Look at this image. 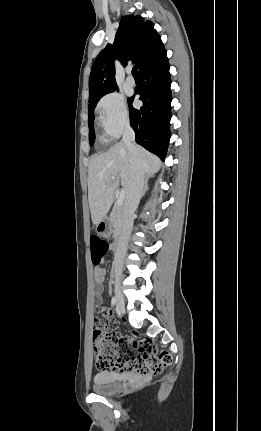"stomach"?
I'll use <instances>...</instances> for the list:
<instances>
[{"mask_svg":"<svg viewBox=\"0 0 261 431\" xmlns=\"http://www.w3.org/2000/svg\"><path fill=\"white\" fill-rule=\"evenodd\" d=\"M96 232L103 237H109L112 233V225L108 218H103L96 224Z\"/></svg>","mask_w":261,"mask_h":431,"instance_id":"stomach-1","label":"stomach"}]
</instances>
